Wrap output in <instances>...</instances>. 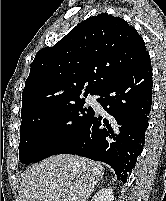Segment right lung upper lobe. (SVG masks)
I'll list each match as a JSON object with an SVG mask.
<instances>
[{"instance_id": "right-lung-upper-lobe-1", "label": "right lung upper lobe", "mask_w": 166, "mask_h": 201, "mask_svg": "<svg viewBox=\"0 0 166 201\" xmlns=\"http://www.w3.org/2000/svg\"><path fill=\"white\" fill-rule=\"evenodd\" d=\"M148 53L135 28L106 13L89 17L31 63L22 92L21 115L96 95Z\"/></svg>"}]
</instances>
